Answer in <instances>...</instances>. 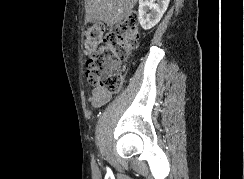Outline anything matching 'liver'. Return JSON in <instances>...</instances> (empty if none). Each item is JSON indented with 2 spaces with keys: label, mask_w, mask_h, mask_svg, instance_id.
I'll use <instances>...</instances> for the list:
<instances>
[{
  "label": "liver",
  "mask_w": 244,
  "mask_h": 179,
  "mask_svg": "<svg viewBox=\"0 0 244 179\" xmlns=\"http://www.w3.org/2000/svg\"><path fill=\"white\" fill-rule=\"evenodd\" d=\"M86 22L102 20L105 24H119L131 14L137 0H85Z\"/></svg>",
  "instance_id": "obj_1"
}]
</instances>
